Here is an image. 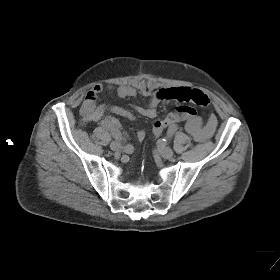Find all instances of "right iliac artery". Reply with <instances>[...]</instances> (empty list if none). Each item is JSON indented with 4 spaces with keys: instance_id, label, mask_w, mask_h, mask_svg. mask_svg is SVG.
Returning <instances> with one entry per match:
<instances>
[{
    "instance_id": "right-iliac-artery-1",
    "label": "right iliac artery",
    "mask_w": 280,
    "mask_h": 280,
    "mask_svg": "<svg viewBox=\"0 0 280 280\" xmlns=\"http://www.w3.org/2000/svg\"><path fill=\"white\" fill-rule=\"evenodd\" d=\"M101 126L110 131L111 135L113 136V138L115 140H117L118 142L122 143L124 151L128 154L133 153L134 151V147L131 144H128L125 140V138L123 137L122 133L120 132V130H118L109 120H102L101 121Z\"/></svg>"
}]
</instances>
